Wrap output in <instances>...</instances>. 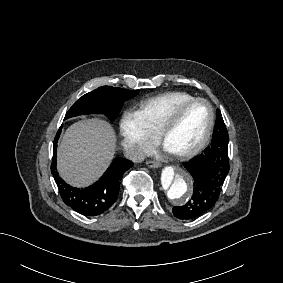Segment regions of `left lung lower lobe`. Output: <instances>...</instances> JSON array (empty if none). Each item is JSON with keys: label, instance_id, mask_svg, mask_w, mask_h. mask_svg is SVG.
Segmentation results:
<instances>
[{"label": "left lung lower lobe", "instance_id": "left-lung-lower-lobe-1", "mask_svg": "<svg viewBox=\"0 0 283 283\" xmlns=\"http://www.w3.org/2000/svg\"><path fill=\"white\" fill-rule=\"evenodd\" d=\"M183 165L193 178V195L185 205L172 211L179 219H195L218 201L229 172L228 133L221 115H217L210 147Z\"/></svg>", "mask_w": 283, "mask_h": 283}]
</instances>
